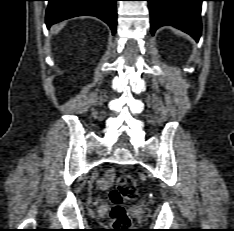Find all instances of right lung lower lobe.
<instances>
[{
    "label": "right lung lower lobe",
    "mask_w": 234,
    "mask_h": 231,
    "mask_svg": "<svg viewBox=\"0 0 234 231\" xmlns=\"http://www.w3.org/2000/svg\"><path fill=\"white\" fill-rule=\"evenodd\" d=\"M46 25L76 16H96L106 22L114 34L116 31L117 0H48Z\"/></svg>",
    "instance_id": "1"
}]
</instances>
